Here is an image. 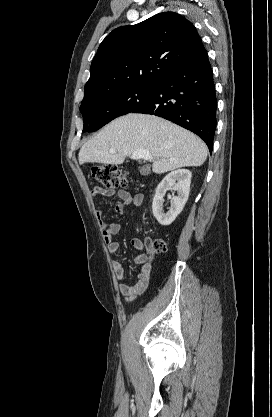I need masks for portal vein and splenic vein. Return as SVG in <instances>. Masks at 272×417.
Masks as SVG:
<instances>
[{"label": "portal vein and splenic vein", "instance_id": "obj_1", "mask_svg": "<svg viewBox=\"0 0 272 417\" xmlns=\"http://www.w3.org/2000/svg\"><path fill=\"white\" fill-rule=\"evenodd\" d=\"M110 153L114 154L115 153V150L114 149H110ZM131 158L132 159H144V160H147V161L154 160V158L150 154V152L149 151H146V150H138V151L134 152L131 155Z\"/></svg>", "mask_w": 272, "mask_h": 417}]
</instances>
